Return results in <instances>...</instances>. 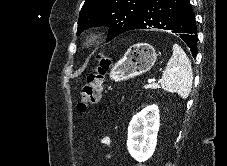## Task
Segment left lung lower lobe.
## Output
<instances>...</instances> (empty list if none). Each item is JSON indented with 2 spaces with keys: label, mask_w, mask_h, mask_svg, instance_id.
Wrapping results in <instances>:
<instances>
[{
  "label": "left lung lower lobe",
  "mask_w": 227,
  "mask_h": 166,
  "mask_svg": "<svg viewBox=\"0 0 227 166\" xmlns=\"http://www.w3.org/2000/svg\"><path fill=\"white\" fill-rule=\"evenodd\" d=\"M150 28L176 33L196 56L197 29L189 0H147L133 30Z\"/></svg>",
  "instance_id": "0a47b994"
}]
</instances>
